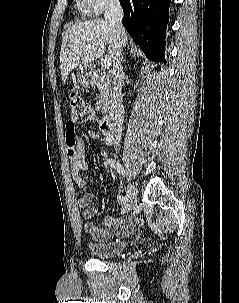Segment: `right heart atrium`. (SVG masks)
<instances>
[{"label": "right heart atrium", "mask_w": 239, "mask_h": 303, "mask_svg": "<svg viewBox=\"0 0 239 303\" xmlns=\"http://www.w3.org/2000/svg\"><path fill=\"white\" fill-rule=\"evenodd\" d=\"M78 8L87 16H96L105 10L115 8L119 0H76Z\"/></svg>", "instance_id": "1"}]
</instances>
